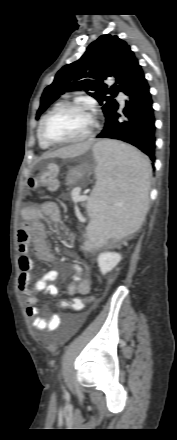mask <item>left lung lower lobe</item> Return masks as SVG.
I'll list each match as a JSON object with an SVG mask.
<instances>
[{"label":"left lung lower lobe","mask_w":177,"mask_h":440,"mask_svg":"<svg viewBox=\"0 0 177 440\" xmlns=\"http://www.w3.org/2000/svg\"><path fill=\"white\" fill-rule=\"evenodd\" d=\"M127 100L123 116L116 110L106 119L104 129L97 138H111L127 142L155 162V117L149 85L141 71L125 91ZM121 117V118H120Z\"/></svg>","instance_id":"obj_1"}]
</instances>
